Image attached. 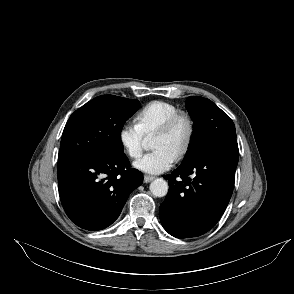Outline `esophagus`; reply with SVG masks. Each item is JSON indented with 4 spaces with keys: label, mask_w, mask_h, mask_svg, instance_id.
Returning a JSON list of instances; mask_svg holds the SVG:
<instances>
[{
    "label": "esophagus",
    "mask_w": 294,
    "mask_h": 294,
    "mask_svg": "<svg viewBox=\"0 0 294 294\" xmlns=\"http://www.w3.org/2000/svg\"><path fill=\"white\" fill-rule=\"evenodd\" d=\"M154 179H155L154 176L144 175V182H145V183H149V182H151V181L154 180Z\"/></svg>",
    "instance_id": "34e87169"
}]
</instances>
